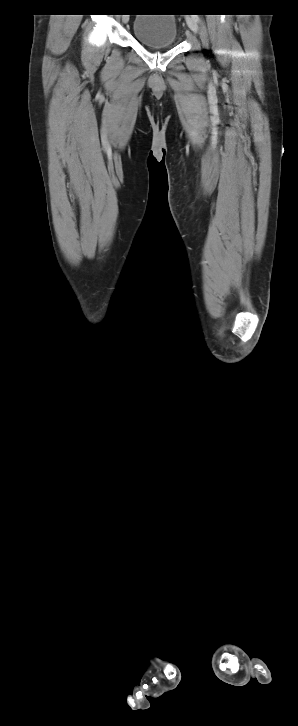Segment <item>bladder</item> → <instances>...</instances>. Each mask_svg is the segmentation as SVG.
Returning <instances> with one entry per match:
<instances>
[{"label": "bladder", "mask_w": 298, "mask_h": 726, "mask_svg": "<svg viewBox=\"0 0 298 726\" xmlns=\"http://www.w3.org/2000/svg\"><path fill=\"white\" fill-rule=\"evenodd\" d=\"M132 31L141 44L154 49L171 48L178 38L177 22L172 14H137Z\"/></svg>", "instance_id": "bladder-1"}]
</instances>
